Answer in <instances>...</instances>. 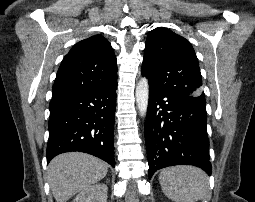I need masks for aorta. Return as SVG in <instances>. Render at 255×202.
Masks as SVG:
<instances>
[{"label":"aorta","mask_w":255,"mask_h":202,"mask_svg":"<svg viewBox=\"0 0 255 202\" xmlns=\"http://www.w3.org/2000/svg\"><path fill=\"white\" fill-rule=\"evenodd\" d=\"M135 97L140 115L146 116L149 100V83L147 78L142 77L138 82Z\"/></svg>","instance_id":"aorta-1"}]
</instances>
